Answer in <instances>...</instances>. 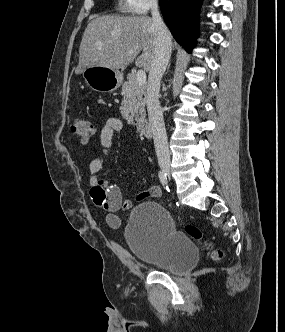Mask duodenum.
Wrapping results in <instances>:
<instances>
[{
    "instance_id": "410a0bca",
    "label": "duodenum",
    "mask_w": 285,
    "mask_h": 332,
    "mask_svg": "<svg viewBox=\"0 0 285 332\" xmlns=\"http://www.w3.org/2000/svg\"><path fill=\"white\" fill-rule=\"evenodd\" d=\"M138 131L143 137H150L152 135V128L150 123L144 122L138 126Z\"/></svg>"
}]
</instances>
